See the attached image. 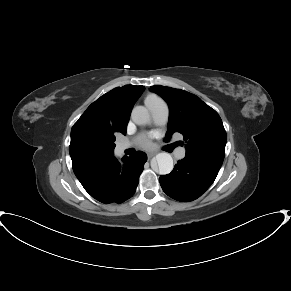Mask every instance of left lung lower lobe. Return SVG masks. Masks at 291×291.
<instances>
[{
	"label": "left lung lower lobe",
	"mask_w": 291,
	"mask_h": 291,
	"mask_svg": "<svg viewBox=\"0 0 291 291\" xmlns=\"http://www.w3.org/2000/svg\"><path fill=\"white\" fill-rule=\"evenodd\" d=\"M222 163L221 160L186 154L170 174L160 176L161 187L175 200L193 201L211 186Z\"/></svg>",
	"instance_id": "1"
}]
</instances>
